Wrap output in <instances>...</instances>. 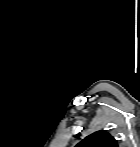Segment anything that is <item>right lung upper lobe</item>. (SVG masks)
Listing matches in <instances>:
<instances>
[{"mask_svg": "<svg viewBox=\"0 0 140 147\" xmlns=\"http://www.w3.org/2000/svg\"><path fill=\"white\" fill-rule=\"evenodd\" d=\"M77 146H80V147H117V142L107 132L97 131L87 136Z\"/></svg>", "mask_w": 140, "mask_h": 147, "instance_id": "obj_1", "label": "right lung upper lobe"}]
</instances>
